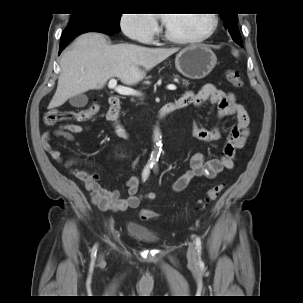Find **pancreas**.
Here are the masks:
<instances>
[{
  "label": "pancreas",
  "mask_w": 303,
  "mask_h": 303,
  "mask_svg": "<svg viewBox=\"0 0 303 303\" xmlns=\"http://www.w3.org/2000/svg\"><path fill=\"white\" fill-rule=\"evenodd\" d=\"M176 78H180L178 75L175 76ZM182 83L183 85H185L186 87L189 85V81L182 79Z\"/></svg>",
  "instance_id": "1"
}]
</instances>
